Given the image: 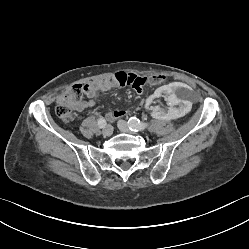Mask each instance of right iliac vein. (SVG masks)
<instances>
[{
  "instance_id": "obj_1",
  "label": "right iliac vein",
  "mask_w": 249,
  "mask_h": 249,
  "mask_svg": "<svg viewBox=\"0 0 249 249\" xmlns=\"http://www.w3.org/2000/svg\"><path fill=\"white\" fill-rule=\"evenodd\" d=\"M112 133H113V127L111 125H107L102 131V134L106 137L112 135Z\"/></svg>"
}]
</instances>
